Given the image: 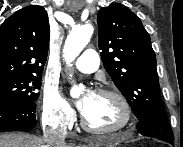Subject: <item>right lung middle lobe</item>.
I'll list each match as a JSON object with an SVG mask.
<instances>
[{
    "instance_id": "right-lung-middle-lobe-1",
    "label": "right lung middle lobe",
    "mask_w": 183,
    "mask_h": 147,
    "mask_svg": "<svg viewBox=\"0 0 183 147\" xmlns=\"http://www.w3.org/2000/svg\"><path fill=\"white\" fill-rule=\"evenodd\" d=\"M42 75L0 79V103L12 101L35 102L41 88Z\"/></svg>"
}]
</instances>
